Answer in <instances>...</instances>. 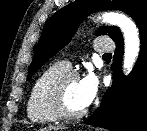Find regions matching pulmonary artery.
<instances>
[{"label": "pulmonary artery", "mask_w": 147, "mask_h": 131, "mask_svg": "<svg viewBox=\"0 0 147 131\" xmlns=\"http://www.w3.org/2000/svg\"><path fill=\"white\" fill-rule=\"evenodd\" d=\"M94 49L97 53H107L114 49V44L110 40L100 39L95 42ZM62 63L66 67H70V63L68 61H63Z\"/></svg>", "instance_id": "obj_1"}]
</instances>
